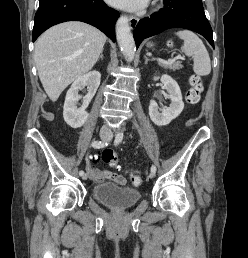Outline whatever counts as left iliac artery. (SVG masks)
I'll return each instance as SVG.
<instances>
[{
    "label": "left iliac artery",
    "mask_w": 248,
    "mask_h": 258,
    "mask_svg": "<svg viewBox=\"0 0 248 258\" xmlns=\"http://www.w3.org/2000/svg\"><path fill=\"white\" fill-rule=\"evenodd\" d=\"M123 140V135L119 134L117 135L114 144L117 146L121 141ZM151 172H156V167L155 165L151 166Z\"/></svg>",
    "instance_id": "1"
}]
</instances>
